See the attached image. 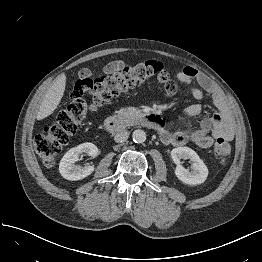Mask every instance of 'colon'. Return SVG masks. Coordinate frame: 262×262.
I'll use <instances>...</instances> for the list:
<instances>
[{"instance_id":"colon-1","label":"colon","mask_w":262,"mask_h":262,"mask_svg":"<svg viewBox=\"0 0 262 262\" xmlns=\"http://www.w3.org/2000/svg\"><path fill=\"white\" fill-rule=\"evenodd\" d=\"M160 83L171 82L164 64L156 60H145L131 65L112 62L106 65L100 76L83 69L73 89L77 94L56 118L34 137L33 144L44 165L50 167L55 162L68 138L75 134L84 117L85 105L81 98L86 94L91 98V106L99 108L113 96L150 79ZM231 145L225 139H218L213 145V155L221 165L230 157Z\"/></svg>"}]
</instances>
